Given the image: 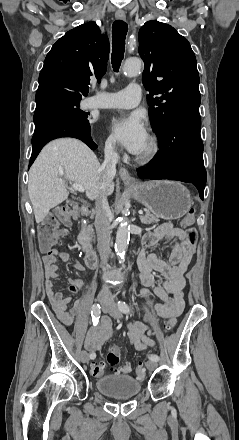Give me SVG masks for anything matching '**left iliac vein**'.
I'll return each mask as SVG.
<instances>
[{"mask_svg":"<svg viewBox=\"0 0 239 440\" xmlns=\"http://www.w3.org/2000/svg\"><path fill=\"white\" fill-rule=\"evenodd\" d=\"M107 312L113 318L119 319L122 317V313L115 303H110V307ZM157 366H158V363L154 360H150L146 363V367L148 368V370H151V371L155 370L157 368Z\"/></svg>","mask_w":239,"mask_h":440,"instance_id":"4c4485c4","label":"left iliac vein"}]
</instances>
